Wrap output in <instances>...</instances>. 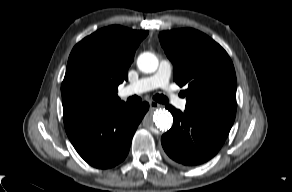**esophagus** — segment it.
<instances>
[{
  "mask_svg": "<svg viewBox=\"0 0 292 192\" xmlns=\"http://www.w3.org/2000/svg\"><path fill=\"white\" fill-rule=\"evenodd\" d=\"M149 105H150V109H157L158 107H160V104L157 103L156 101H150Z\"/></svg>",
  "mask_w": 292,
  "mask_h": 192,
  "instance_id": "esophagus-1",
  "label": "esophagus"
}]
</instances>
